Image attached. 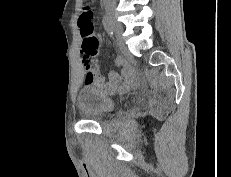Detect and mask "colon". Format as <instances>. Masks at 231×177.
<instances>
[{
    "mask_svg": "<svg viewBox=\"0 0 231 177\" xmlns=\"http://www.w3.org/2000/svg\"><path fill=\"white\" fill-rule=\"evenodd\" d=\"M82 43V61L89 66L96 56L99 48V39L94 34V25L92 23V10L89 7H84L78 20Z\"/></svg>",
    "mask_w": 231,
    "mask_h": 177,
    "instance_id": "5ec220e1",
    "label": "colon"
}]
</instances>
